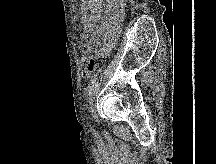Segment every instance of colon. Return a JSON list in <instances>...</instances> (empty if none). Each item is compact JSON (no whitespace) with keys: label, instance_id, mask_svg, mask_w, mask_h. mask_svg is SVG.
Listing matches in <instances>:
<instances>
[{"label":"colon","instance_id":"1","mask_svg":"<svg viewBox=\"0 0 216 164\" xmlns=\"http://www.w3.org/2000/svg\"><path fill=\"white\" fill-rule=\"evenodd\" d=\"M96 69V60L94 57L86 58L82 61V75L83 77H89Z\"/></svg>","mask_w":216,"mask_h":164}]
</instances>
